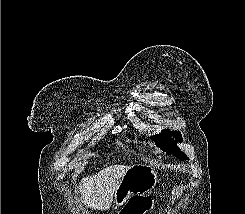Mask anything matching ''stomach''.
I'll return each instance as SVG.
<instances>
[{
  "label": "stomach",
  "instance_id": "obj_1",
  "mask_svg": "<svg viewBox=\"0 0 245 214\" xmlns=\"http://www.w3.org/2000/svg\"><path fill=\"white\" fill-rule=\"evenodd\" d=\"M155 170L144 164L133 165L121 179L114 195L116 207L124 205L134 194L149 193L158 183Z\"/></svg>",
  "mask_w": 245,
  "mask_h": 214
}]
</instances>
